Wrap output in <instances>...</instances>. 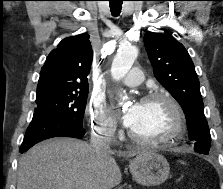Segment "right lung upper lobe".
Listing matches in <instances>:
<instances>
[{
    "mask_svg": "<svg viewBox=\"0 0 223 189\" xmlns=\"http://www.w3.org/2000/svg\"><path fill=\"white\" fill-rule=\"evenodd\" d=\"M87 33L63 39L40 71L37 93L88 88L92 47Z\"/></svg>",
    "mask_w": 223,
    "mask_h": 189,
    "instance_id": "cb5924a9",
    "label": "right lung upper lobe"
}]
</instances>
